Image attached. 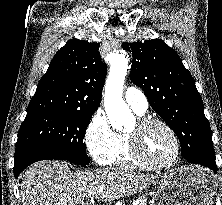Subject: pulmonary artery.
Listing matches in <instances>:
<instances>
[{
	"label": "pulmonary artery",
	"mask_w": 222,
	"mask_h": 205,
	"mask_svg": "<svg viewBox=\"0 0 222 205\" xmlns=\"http://www.w3.org/2000/svg\"><path fill=\"white\" fill-rule=\"evenodd\" d=\"M126 103L137 113L144 114L148 109L145 94L138 88L128 87L124 94Z\"/></svg>",
	"instance_id": "e3ab8cb5"
}]
</instances>
